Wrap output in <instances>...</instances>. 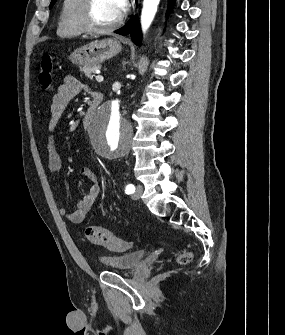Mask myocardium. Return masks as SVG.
Wrapping results in <instances>:
<instances>
[{"mask_svg":"<svg viewBox=\"0 0 285 335\" xmlns=\"http://www.w3.org/2000/svg\"><path fill=\"white\" fill-rule=\"evenodd\" d=\"M94 1H81L78 21L83 32L89 35H103L114 31L122 21V15L107 27H97L92 21V8Z\"/></svg>","mask_w":285,"mask_h":335,"instance_id":"f54148a6","label":"myocardium"}]
</instances>
